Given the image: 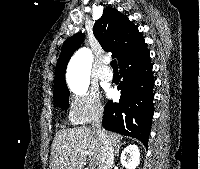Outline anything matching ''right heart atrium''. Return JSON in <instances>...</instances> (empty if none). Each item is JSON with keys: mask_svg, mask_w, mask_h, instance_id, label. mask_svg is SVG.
I'll return each instance as SVG.
<instances>
[{"mask_svg": "<svg viewBox=\"0 0 200 169\" xmlns=\"http://www.w3.org/2000/svg\"><path fill=\"white\" fill-rule=\"evenodd\" d=\"M104 105L100 96L94 92L72 95L68 106V119L73 125H85L100 118Z\"/></svg>", "mask_w": 200, "mask_h": 169, "instance_id": "1", "label": "right heart atrium"}]
</instances>
